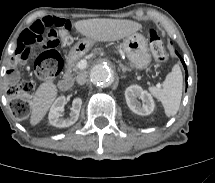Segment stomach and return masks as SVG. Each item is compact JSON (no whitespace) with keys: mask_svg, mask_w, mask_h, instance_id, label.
Masks as SVG:
<instances>
[{"mask_svg":"<svg viewBox=\"0 0 215 183\" xmlns=\"http://www.w3.org/2000/svg\"><path fill=\"white\" fill-rule=\"evenodd\" d=\"M91 39L77 42L70 50L67 60L73 61L89 51L93 44ZM123 50L132 66L138 70L148 68L151 63V54L145 37L139 33L127 36L123 41Z\"/></svg>","mask_w":215,"mask_h":183,"instance_id":"obj_1","label":"stomach"}]
</instances>
